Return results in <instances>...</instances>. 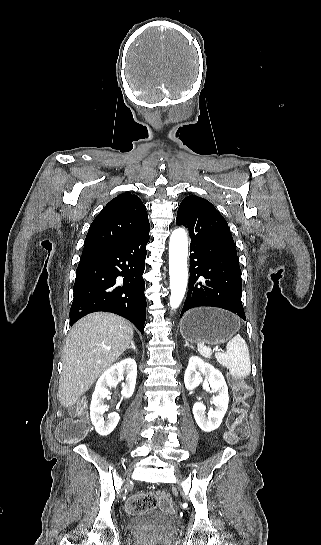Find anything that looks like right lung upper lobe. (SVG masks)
Masks as SVG:
<instances>
[{"mask_svg": "<svg viewBox=\"0 0 321 545\" xmlns=\"http://www.w3.org/2000/svg\"><path fill=\"white\" fill-rule=\"evenodd\" d=\"M149 228L147 212L139 197L130 192L120 194L92 222L82 255L125 244Z\"/></svg>", "mask_w": 321, "mask_h": 545, "instance_id": "obj_1", "label": "right lung upper lobe"}]
</instances>
